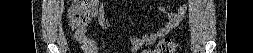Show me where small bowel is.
<instances>
[{
  "label": "small bowel",
  "mask_w": 253,
  "mask_h": 53,
  "mask_svg": "<svg viewBox=\"0 0 253 53\" xmlns=\"http://www.w3.org/2000/svg\"><path fill=\"white\" fill-rule=\"evenodd\" d=\"M91 3L96 7L94 16L98 20L99 24L102 27L107 28L108 23L104 18V9L102 5H100V1L92 0ZM188 9V2H186L183 6H181L178 10L167 13L168 20L165 24L158 27V29L152 33H148L143 35L141 38L131 37V50L133 52L137 51L143 45H149L155 42V40L159 37L165 36L173 31L180 21L183 19L185 13ZM75 37L77 41L82 46L83 50L88 53H98V45L97 43L88 36V26L80 27L75 30Z\"/></svg>",
  "instance_id": "c3829d8e"
}]
</instances>
